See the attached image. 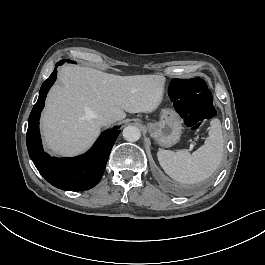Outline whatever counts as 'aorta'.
<instances>
[{"instance_id":"aorta-1","label":"aorta","mask_w":265,"mask_h":265,"mask_svg":"<svg viewBox=\"0 0 265 265\" xmlns=\"http://www.w3.org/2000/svg\"><path fill=\"white\" fill-rule=\"evenodd\" d=\"M140 136V130L135 126H127L123 129V137L127 141L135 142L139 140Z\"/></svg>"}]
</instances>
